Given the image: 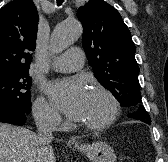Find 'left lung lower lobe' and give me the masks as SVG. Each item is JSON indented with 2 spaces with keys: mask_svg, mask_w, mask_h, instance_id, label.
<instances>
[{
  "mask_svg": "<svg viewBox=\"0 0 168 162\" xmlns=\"http://www.w3.org/2000/svg\"><path fill=\"white\" fill-rule=\"evenodd\" d=\"M129 118L132 117L136 120H140L142 122H145L147 124H151V119L148 115V113L146 112L145 108H143V106H141L140 110L134 111L131 114L127 115Z\"/></svg>",
  "mask_w": 168,
  "mask_h": 162,
  "instance_id": "0a47b994",
  "label": "left lung lower lobe"
}]
</instances>
